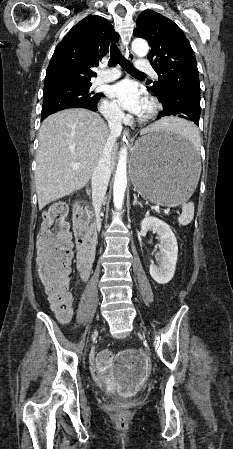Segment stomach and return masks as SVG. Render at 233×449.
I'll return each mask as SVG.
<instances>
[{
	"label": "stomach",
	"instance_id": "obj_1",
	"mask_svg": "<svg viewBox=\"0 0 233 449\" xmlns=\"http://www.w3.org/2000/svg\"><path fill=\"white\" fill-rule=\"evenodd\" d=\"M129 172L134 189L143 198L174 207L188 200L196 188L199 155L180 133H159L152 128L136 141Z\"/></svg>",
	"mask_w": 233,
	"mask_h": 449
}]
</instances>
